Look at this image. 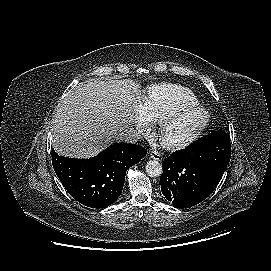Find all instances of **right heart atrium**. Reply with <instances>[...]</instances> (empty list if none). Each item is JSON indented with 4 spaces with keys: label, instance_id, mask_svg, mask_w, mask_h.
I'll use <instances>...</instances> for the list:
<instances>
[{
    "label": "right heart atrium",
    "instance_id": "obj_1",
    "mask_svg": "<svg viewBox=\"0 0 271 271\" xmlns=\"http://www.w3.org/2000/svg\"><path fill=\"white\" fill-rule=\"evenodd\" d=\"M136 127L139 133L145 134L149 131V121L145 118L143 111H142V105L139 106V113L136 119Z\"/></svg>",
    "mask_w": 271,
    "mask_h": 271
}]
</instances>
